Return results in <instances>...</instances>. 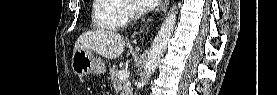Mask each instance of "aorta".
<instances>
[{"label": "aorta", "mask_w": 277, "mask_h": 95, "mask_svg": "<svg viewBox=\"0 0 277 95\" xmlns=\"http://www.w3.org/2000/svg\"><path fill=\"white\" fill-rule=\"evenodd\" d=\"M176 18L177 10L176 6L173 5L164 22L162 23L153 43L151 44L144 68V78L142 80V85L148 83L150 77L154 74L164 52L166 51L168 42L174 31Z\"/></svg>", "instance_id": "762f6f07"}]
</instances>
